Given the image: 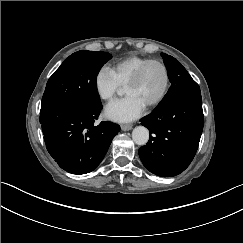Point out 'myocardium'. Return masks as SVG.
<instances>
[{
    "instance_id": "1",
    "label": "myocardium",
    "mask_w": 243,
    "mask_h": 243,
    "mask_svg": "<svg viewBox=\"0 0 243 243\" xmlns=\"http://www.w3.org/2000/svg\"><path fill=\"white\" fill-rule=\"evenodd\" d=\"M152 63H156L163 68V70L166 74V85H165V88H164V91L162 92V94L155 101H153L147 105V107H149V108H155V107L159 106L161 103H163V101L167 98V96L170 92V89L172 86V75H171L168 65L160 59L150 58V59L144 61L136 69V71L132 74V76L127 80V82L125 84V87H127L128 85L136 83L140 79L145 68Z\"/></svg>"
}]
</instances>
